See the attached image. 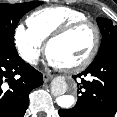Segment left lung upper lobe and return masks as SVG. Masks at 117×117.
Masks as SVG:
<instances>
[{"instance_id":"1","label":"left lung upper lobe","mask_w":117,"mask_h":117,"mask_svg":"<svg viewBox=\"0 0 117 117\" xmlns=\"http://www.w3.org/2000/svg\"><path fill=\"white\" fill-rule=\"evenodd\" d=\"M97 23L103 38L95 59L104 54L114 44H117V26H114L110 19L105 18H97Z\"/></svg>"}]
</instances>
